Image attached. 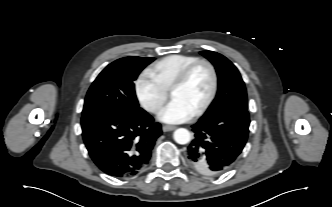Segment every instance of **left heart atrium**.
Here are the masks:
<instances>
[{
	"instance_id": "39dd6f15",
	"label": "left heart atrium",
	"mask_w": 332,
	"mask_h": 207,
	"mask_svg": "<svg viewBox=\"0 0 332 207\" xmlns=\"http://www.w3.org/2000/svg\"><path fill=\"white\" fill-rule=\"evenodd\" d=\"M194 116V111L178 99H172L159 113V120L169 124L185 122Z\"/></svg>"
}]
</instances>
